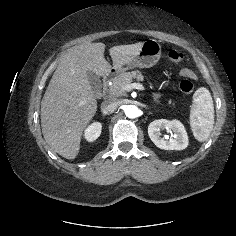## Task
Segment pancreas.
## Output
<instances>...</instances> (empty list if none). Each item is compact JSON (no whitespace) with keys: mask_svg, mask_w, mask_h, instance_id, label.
Here are the masks:
<instances>
[{"mask_svg":"<svg viewBox=\"0 0 236 236\" xmlns=\"http://www.w3.org/2000/svg\"><path fill=\"white\" fill-rule=\"evenodd\" d=\"M133 79H136L138 81H143L144 76L138 70L119 74L114 78L113 83L109 86L108 89L109 94L114 97L126 95L125 91L123 90V86L131 84ZM168 105L174 106V103L171 100H169Z\"/></svg>","mask_w":236,"mask_h":236,"instance_id":"pancreas-1","label":"pancreas"}]
</instances>
